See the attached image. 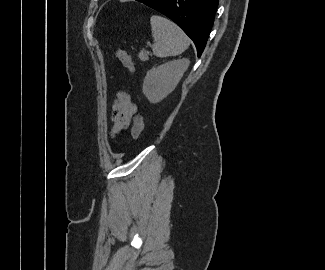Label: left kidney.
Returning a JSON list of instances; mask_svg holds the SVG:
<instances>
[{
	"label": "left kidney",
	"instance_id": "left-kidney-1",
	"mask_svg": "<svg viewBox=\"0 0 325 270\" xmlns=\"http://www.w3.org/2000/svg\"><path fill=\"white\" fill-rule=\"evenodd\" d=\"M190 61L178 59L150 69L144 79L143 93L151 103L167 97L178 85Z\"/></svg>",
	"mask_w": 325,
	"mask_h": 270
}]
</instances>
